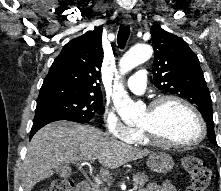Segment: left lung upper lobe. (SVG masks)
<instances>
[{
	"mask_svg": "<svg viewBox=\"0 0 221 191\" xmlns=\"http://www.w3.org/2000/svg\"><path fill=\"white\" fill-rule=\"evenodd\" d=\"M150 33L155 49L152 72L156 87L195 104L207 123L208 138L217 145L210 92L197 55L182 38L158 25Z\"/></svg>",
	"mask_w": 221,
	"mask_h": 191,
	"instance_id": "left-lung-upper-lobe-1",
	"label": "left lung upper lobe"
}]
</instances>
